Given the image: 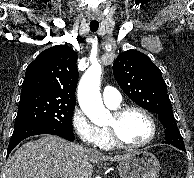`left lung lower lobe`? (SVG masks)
Here are the masks:
<instances>
[{
  "mask_svg": "<svg viewBox=\"0 0 194 178\" xmlns=\"http://www.w3.org/2000/svg\"><path fill=\"white\" fill-rule=\"evenodd\" d=\"M165 134V140L162 141V143L173 145L178 149L185 151V145L178 128L167 127Z\"/></svg>",
  "mask_w": 194,
  "mask_h": 178,
  "instance_id": "1",
  "label": "left lung lower lobe"
}]
</instances>
